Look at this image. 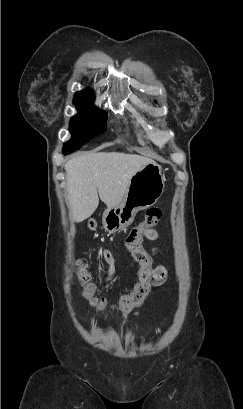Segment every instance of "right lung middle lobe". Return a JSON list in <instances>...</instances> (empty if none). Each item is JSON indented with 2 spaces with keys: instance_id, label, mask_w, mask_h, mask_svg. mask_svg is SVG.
<instances>
[{
  "instance_id": "obj_1",
  "label": "right lung middle lobe",
  "mask_w": 243,
  "mask_h": 409,
  "mask_svg": "<svg viewBox=\"0 0 243 409\" xmlns=\"http://www.w3.org/2000/svg\"><path fill=\"white\" fill-rule=\"evenodd\" d=\"M79 113L71 118L72 139L64 144L63 153L70 154L95 135L106 130L107 114L100 112L93 102L74 103Z\"/></svg>"
}]
</instances>
